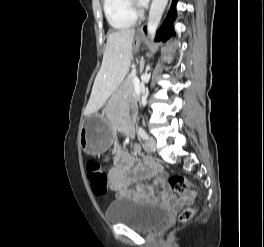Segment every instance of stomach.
Here are the masks:
<instances>
[{"label": "stomach", "mask_w": 264, "mask_h": 247, "mask_svg": "<svg viewBox=\"0 0 264 247\" xmlns=\"http://www.w3.org/2000/svg\"><path fill=\"white\" fill-rule=\"evenodd\" d=\"M140 38L136 42L139 44ZM114 127L108 117L107 109L102 114L87 116L79 129V141L82 149L91 155L104 152L111 144Z\"/></svg>", "instance_id": "1"}]
</instances>
